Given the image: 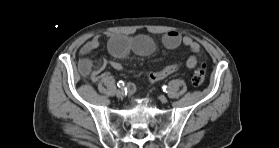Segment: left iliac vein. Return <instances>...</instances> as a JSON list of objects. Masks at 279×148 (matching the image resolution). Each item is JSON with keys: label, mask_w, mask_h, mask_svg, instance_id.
<instances>
[{"label": "left iliac vein", "mask_w": 279, "mask_h": 148, "mask_svg": "<svg viewBox=\"0 0 279 148\" xmlns=\"http://www.w3.org/2000/svg\"><path fill=\"white\" fill-rule=\"evenodd\" d=\"M159 99H160V101H161L162 103H166V102L168 101L167 97L164 96V95H160V96H159Z\"/></svg>", "instance_id": "left-iliac-vein-1"}]
</instances>
